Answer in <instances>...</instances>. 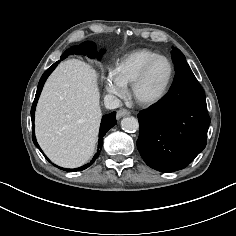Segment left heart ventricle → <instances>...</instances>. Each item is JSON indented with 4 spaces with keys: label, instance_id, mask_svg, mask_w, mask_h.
I'll list each match as a JSON object with an SVG mask.
<instances>
[{
    "label": "left heart ventricle",
    "instance_id": "left-heart-ventricle-1",
    "mask_svg": "<svg viewBox=\"0 0 236 236\" xmlns=\"http://www.w3.org/2000/svg\"><path fill=\"white\" fill-rule=\"evenodd\" d=\"M170 74V66L166 60L157 61L149 70L142 82L139 93L146 98L159 95L164 89Z\"/></svg>",
    "mask_w": 236,
    "mask_h": 236
}]
</instances>
